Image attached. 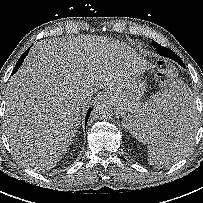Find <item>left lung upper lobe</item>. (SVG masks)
Returning a JSON list of instances; mask_svg holds the SVG:
<instances>
[{
	"label": "left lung upper lobe",
	"instance_id": "1",
	"mask_svg": "<svg viewBox=\"0 0 203 203\" xmlns=\"http://www.w3.org/2000/svg\"><path fill=\"white\" fill-rule=\"evenodd\" d=\"M152 45L156 48V49H158V47H162L161 45H159L158 43H156L155 41H153L152 42ZM175 54V53H174ZM177 56V55H176ZM178 58V57H177ZM178 60H179V64L181 65L182 64V62H181V60L178 58Z\"/></svg>",
	"mask_w": 203,
	"mask_h": 203
}]
</instances>
